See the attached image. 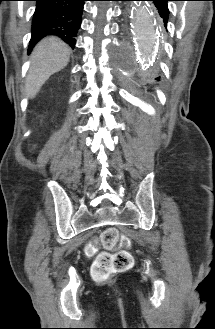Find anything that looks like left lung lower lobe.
<instances>
[{"label":"left lung lower lobe","mask_w":215,"mask_h":329,"mask_svg":"<svg viewBox=\"0 0 215 329\" xmlns=\"http://www.w3.org/2000/svg\"><path fill=\"white\" fill-rule=\"evenodd\" d=\"M136 1H153L158 9L160 16L163 18L164 26L167 27V21L169 15L167 2L173 0H136Z\"/></svg>","instance_id":"1"}]
</instances>
